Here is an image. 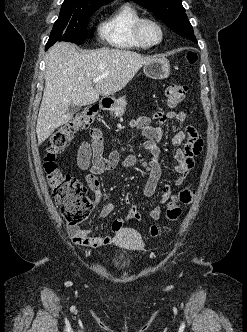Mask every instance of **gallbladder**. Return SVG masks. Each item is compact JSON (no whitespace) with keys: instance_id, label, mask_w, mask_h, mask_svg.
I'll use <instances>...</instances> for the list:
<instances>
[{"instance_id":"1","label":"gallbladder","mask_w":247,"mask_h":332,"mask_svg":"<svg viewBox=\"0 0 247 332\" xmlns=\"http://www.w3.org/2000/svg\"><path fill=\"white\" fill-rule=\"evenodd\" d=\"M79 109H80L79 106L74 105V104H71V105L69 106V108H68V112H69L70 114H74V113H76Z\"/></svg>"}]
</instances>
